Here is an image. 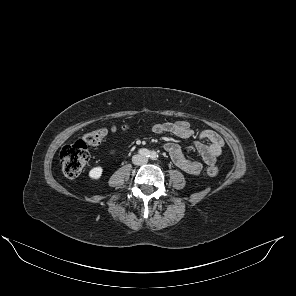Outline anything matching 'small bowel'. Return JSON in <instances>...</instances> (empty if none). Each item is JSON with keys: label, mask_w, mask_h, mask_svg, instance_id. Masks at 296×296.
<instances>
[{"label": "small bowel", "mask_w": 296, "mask_h": 296, "mask_svg": "<svg viewBox=\"0 0 296 296\" xmlns=\"http://www.w3.org/2000/svg\"><path fill=\"white\" fill-rule=\"evenodd\" d=\"M152 130L157 134L169 133L182 139H189L194 135L189 122L185 120L157 123L152 127ZM223 144L221 136L215 131L208 129L199 134V139L193 143V147L199 153L202 160L207 165H211L220 156ZM164 149L169 154L172 162L183 171L194 175L202 171V163L198 160L185 157L183 147L180 144L167 142L164 145ZM115 153V149L110 152L111 155Z\"/></svg>", "instance_id": "small-bowel-1"}]
</instances>
